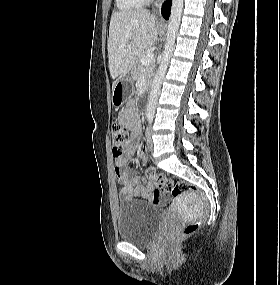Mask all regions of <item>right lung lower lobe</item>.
Instances as JSON below:
<instances>
[{
    "label": "right lung lower lobe",
    "instance_id": "obj_1",
    "mask_svg": "<svg viewBox=\"0 0 280 285\" xmlns=\"http://www.w3.org/2000/svg\"><path fill=\"white\" fill-rule=\"evenodd\" d=\"M171 9V0H166L162 6V16L168 20Z\"/></svg>",
    "mask_w": 280,
    "mask_h": 285
}]
</instances>
